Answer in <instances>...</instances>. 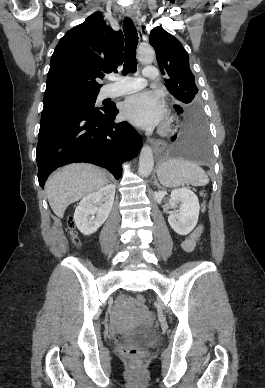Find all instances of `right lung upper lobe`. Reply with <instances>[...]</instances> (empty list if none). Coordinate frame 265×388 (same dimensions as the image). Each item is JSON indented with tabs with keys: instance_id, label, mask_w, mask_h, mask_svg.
Returning a JSON list of instances; mask_svg holds the SVG:
<instances>
[{
	"instance_id": "cb5924a9",
	"label": "right lung upper lobe",
	"mask_w": 265,
	"mask_h": 388,
	"mask_svg": "<svg viewBox=\"0 0 265 388\" xmlns=\"http://www.w3.org/2000/svg\"><path fill=\"white\" fill-rule=\"evenodd\" d=\"M122 31L107 26L100 12L72 28L60 39L51 57L44 98L69 94H98L102 72H117L123 62Z\"/></svg>"
}]
</instances>
